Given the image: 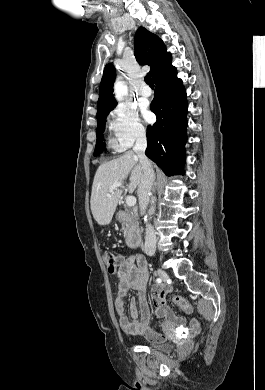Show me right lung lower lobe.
<instances>
[{
    "instance_id": "obj_1",
    "label": "right lung lower lobe",
    "mask_w": 265,
    "mask_h": 390,
    "mask_svg": "<svg viewBox=\"0 0 265 390\" xmlns=\"http://www.w3.org/2000/svg\"><path fill=\"white\" fill-rule=\"evenodd\" d=\"M176 75V68L171 66L154 80L156 90L150 108L157 121L147 127L145 152L168 176L184 174L187 141L186 91Z\"/></svg>"
}]
</instances>
